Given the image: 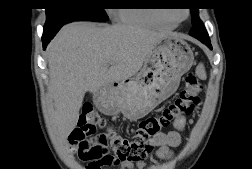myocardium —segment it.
<instances>
[{"instance_id": "obj_1", "label": "myocardium", "mask_w": 252, "mask_h": 169, "mask_svg": "<svg viewBox=\"0 0 252 169\" xmlns=\"http://www.w3.org/2000/svg\"><path fill=\"white\" fill-rule=\"evenodd\" d=\"M189 16V10L188 9H185V18L184 19H176L174 17H171V16H167V15H163L162 17L167 19L168 21L170 22H173V23H179V22H182L183 20H185L187 17Z\"/></svg>"}]
</instances>
